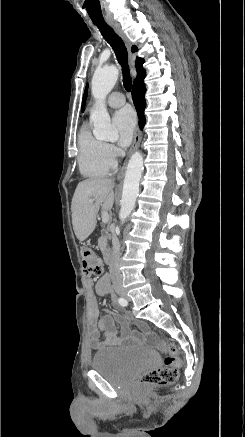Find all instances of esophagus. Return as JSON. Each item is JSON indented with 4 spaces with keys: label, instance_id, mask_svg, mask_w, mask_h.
I'll return each instance as SVG.
<instances>
[{
    "label": "esophagus",
    "instance_id": "1",
    "mask_svg": "<svg viewBox=\"0 0 245 437\" xmlns=\"http://www.w3.org/2000/svg\"><path fill=\"white\" fill-rule=\"evenodd\" d=\"M110 26H112L114 28V30L120 35V37L124 40L125 44L127 45L128 49L130 50V44L128 42V39L126 38L125 34L123 33V31L120 29V26L115 23V22H109ZM134 56L133 54L129 51V62H130V67L133 70L134 69ZM141 142V130L139 128V126L136 127L135 132H134V139H133V143L132 146L129 150L127 159L125 160L122 168L120 169L117 178L121 179L124 175L126 166H127V161L128 158L130 157V155L136 150L138 149L139 145Z\"/></svg>",
    "mask_w": 245,
    "mask_h": 437
}]
</instances>
